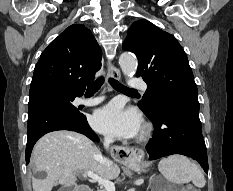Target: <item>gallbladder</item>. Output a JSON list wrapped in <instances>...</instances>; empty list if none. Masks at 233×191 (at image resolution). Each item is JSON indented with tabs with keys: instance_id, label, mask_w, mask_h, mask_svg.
<instances>
[{
	"instance_id": "gallbladder-1",
	"label": "gallbladder",
	"mask_w": 233,
	"mask_h": 191,
	"mask_svg": "<svg viewBox=\"0 0 233 191\" xmlns=\"http://www.w3.org/2000/svg\"><path fill=\"white\" fill-rule=\"evenodd\" d=\"M58 191H73L72 186H63Z\"/></svg>"
}]
</instances>
